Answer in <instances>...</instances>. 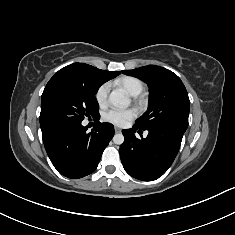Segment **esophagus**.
<instances>
[{
	"instance_id": "esophagus-1",
	"label": "esophagus",
	"mask_w": 235,
	"mask_h": 235,
	"mask_svg": "<svg viewBox=\"0 0 235 235\" xmlns=\"http://www.w3.org/2000/svg\"><path fill=\"white\" fill-rule=\"evenodd\" d=\"M114 130H115V133H120L121 132V129L119 127H115Z\"/></svg>"
}]
</instances>
